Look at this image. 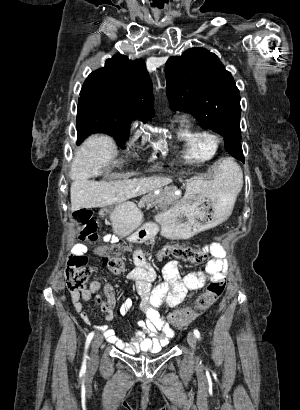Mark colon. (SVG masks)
Instances as JSON below:
<instances>
[{"label": "colon", "mask_w": 300, "mask_h": 410, "mask_svg": "<svg viewBox=\"0 0 300 410\" xmlns=\"http://www.w3.org/2000/svg\"><path fill=\"white\" fill-rule=\"evenodd\" d=\"M74 217L83 226L82 238L89 241L97 240V227L91 212L87 209H81L75 213ZM167 256L202 264L208 259V252L205 249L189 245L169 244L159 250V257ZM104 263L114 274H120L125 270V262L118 255L105 256ZM92 271L84 256L75 255L70 257L66 268V284L69 291H82ZM225 287V280L218 279L212 281L207 289L196 299L193 308L181 309L172 313L170 317L171 324L175 327H183L189 324L198 313L208 309L221 297Z\"/></svg>", "instance_id": "1"}]
</instances>
